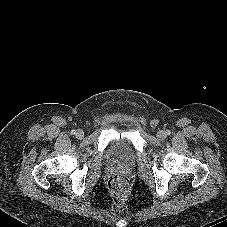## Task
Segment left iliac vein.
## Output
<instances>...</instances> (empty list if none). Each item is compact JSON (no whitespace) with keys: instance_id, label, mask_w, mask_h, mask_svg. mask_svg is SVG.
I'll return each instance as SVG.
<instances>
[{"instance_id":"1","label":"left iliac vein","mask_w":227,"mask_h":227,"mask_svg":"<svg viewBox=\"0 0 227 227\" xmlns=\"http://www.w3.org/2000/svg\"><path fill=\"white\" fill-rule=\"evenodd\" d=\"M157 138H158L159 140L165 139V138H166V132L163 131V130L158 131V132H157Z\"/></svg>"}]
</instances>
